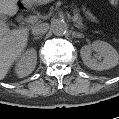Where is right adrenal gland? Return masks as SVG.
Masks as SVG:
<instances>
[{
    "instance_id": "obj_1",
    "label": "right adrenal gland",
    "mask_w": 119,
    "mask_h": 119,
    "mask_svg": "<svg viewBox=\"0 0 119 119\" xmlns=\"http://www.w3.org/2000/svg\"><path fill=\"white\" fill-rule=\"evenodd\" d=\"M41 38H42V36H36L33 38V40H37V39H41Z\"/></svg>"
}]
</instances>
